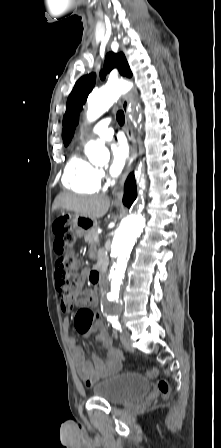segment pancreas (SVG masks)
I'll return each instance as SVG.
<instances>
[{
    "label": "pancreas",
    "instance_id": "1",
    "mask_svg": "<svg viewBox=\"0 0 221 448\" xmlns=\"http://www.w3.org/2000/svg\"><path fill=\"white\" fill-rule=\"evenodd\" d=\"M97 235L98 234L95 231V228L90 230L85 235V242H87L90 245V250L95 254V257L98 261V265H102L105 263V257H104L103 249L102 248L97 249V247L99 245V239L96 238Z\"/></svg>",
    "mask_w": 221,
    "mask_h": 448
}]
</instances>
